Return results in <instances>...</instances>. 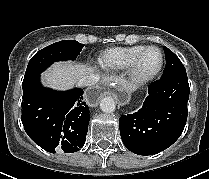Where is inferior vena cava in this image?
Listing matches in <instances>:
<instances>
[{"label": "inferior vena cava", "mask_w": 209, "mask_h": 179, "mask_svg": "<svg viewBox=\"0 0 209 179\" xmlns=\"http://www.w3.org/2000/svg\"><path fill=\"white\" fill-rule=\"evenodd\" d=\"M99 81V76L96 74H89L84 77H82L78 85L80 86H86V87H91L94 86L97 82Z\"/></svg>", "instance_id": "1"}]
</instances>
